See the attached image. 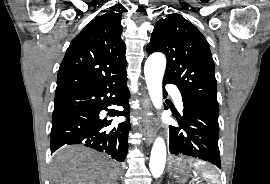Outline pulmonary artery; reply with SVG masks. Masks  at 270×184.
Segmentation results:
<instances>
[{
  "label": "pulmonary artery",
  "mask_w": 270,
  "mask_h": 184,
  "mask_svg": "<svg viewBox=\"0 0 270 184\" xmlns=\"http://www.w3.org/2000/svg\"><path fill=\"white\" fill-rule=\"evenodd\" d=\"M168 91L173 95L174 101L177 105L178 108H182L183 107V102H182V97L179 93V91L176 89V87L169 85L167 87Z\"/></svg>",
  "instance_id": "pulmonary-artery-1"
}]
</instances>
